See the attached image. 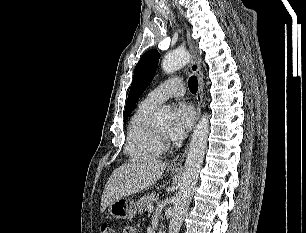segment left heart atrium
Listing matches in <instances>:
<instances>
[{
	"label": "left heart atrium",
	"mask_w": 306,
	"mask_h": 233,
	"mask_svg": "<svg viewBox=\"0 0 306 233\" xmlns=\"http://www.w3.org/2000/svg\"><path fill=\"white\" fill-rule=\"evenodd\" d=\"M195 119L193 108L185 103L180 102L174 108V121L168 134L174 141H180L185 138L190 131Z\"/></svg>",
	"instance_id": "39dd6f15"
}]
</instances>
